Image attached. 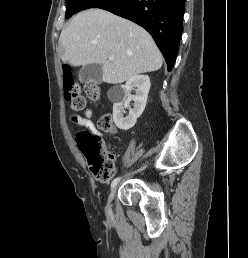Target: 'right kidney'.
Returning a JSON list of instances; mask_svg holds the SVG:
<instances>
[{"label": "right kidney", "instance_id": "ca27d5eb", "mask_svg": "<svg viewBox=\"0 0 248 258\" xmlns=\"http://www.w3.org/2000/svg\"><path fill=\"white\" fill-rule=\"evenodd\" d=\"M150 86L147 75H137L129 79L125 85L115 87L108 92V97L114 102L113 120L118 128L129 130L135 125L137 118L145 109ZM134 88H136V95L131 94ZM132 100L133 108L129 105ZM125 108L129 109V115L123 117Z\"/></svg>", "mask_w": 248, "mask_h": 258}]
</instances>
